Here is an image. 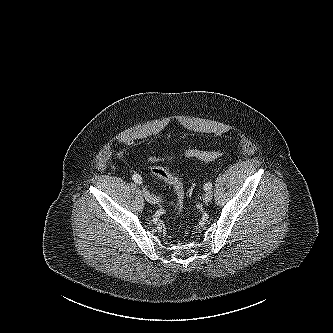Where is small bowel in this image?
Here are the masks:
<instances>
[{"mask_svg":"<svg viewBox=\"0 0 333 333\" xmlns=\"http://www.w3.org/2000/svg\"><path fill=\"white\" fill-rule=\"evenodd\" d=\"M116 156L118 158H124L125 157V153L123 150H119L118 152H116Z\"/></svg>","mask_w":333,"mask_h":333,"instance_id":"small-bowel-1","label":"small bowel"}]
</instances>
